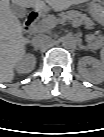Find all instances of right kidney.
<instances>
[{"label":"right kidney","mask_w":104,"mask_h":137,"mask_svg":"<svg viewBox=\"0 0 104 137\" xmlns=\"http://www.w3.org/2000/svg\"><path fill=\"white\" fill-rule=\"evenodd\" d=\"M36 58L33 55H25L18 63V71L20 73L30 72L34 69Z\"/></svg>","instance_id":"obj_1"}]
</instances>
